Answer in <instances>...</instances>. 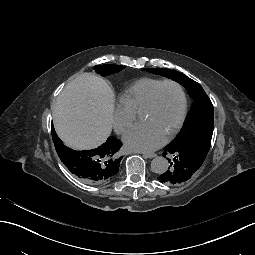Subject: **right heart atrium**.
Segmentation results:
<instances>
[{
	"instance_id": "d8ad5b80",
	"label": "right heart atrium",
	"mask_w": 255,
	"mask_h": 255,
	"mask_svg": "<svg viewBox=\"0 0 255 255\" xmlns=\"http://www.w3.org/2000/svg\"><path fill=\"white\" fill-rule=\"evenodd\" d=\"M136 113L120 106H116L112 112V125L115 132L122 135L126 130L135 123Z\"/></svg>"
}]
</instances>
